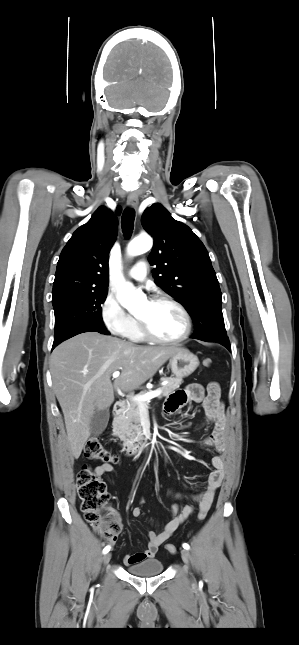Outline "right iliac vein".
Segmentation results:
<instances>
[{"label": "right iliac vein", "instance_id": "63e3f726", "mask_svg": "<svg viewBox=\"0 0 299 645\" xmlns=\"http://www.w3.org/2000/svg\"><path fill=\"white\" fill-rule=\"evenodd\" d=\"M110 559H111V553H106V554L103 556V563H104V564H108V563H109V561H110Z\"/></svg>", "mask_w": 299, "mask_h": 645}]
</instances>
